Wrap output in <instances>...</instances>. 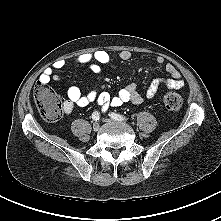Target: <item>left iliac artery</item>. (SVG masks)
<instances>
[{
    "label": "left iliac artery",
    "instance_id": "left-iliac-artery-1",
    "mask_svg": "<svg viewBox=\"0 0 221 221\" xmlns=\"http://www.w3.org/2000/svg\"><path fill=\"white\" fill-rule=\"evenodd\" d=\"M110 117H111L112 119H115V120H118V121L127 120L126 117H124V116H122V115H120V114H117V113H111V114H110Z\"/></svg>",
    "mask_w": 221,
    "mask_h": 221
}]
</instances>
